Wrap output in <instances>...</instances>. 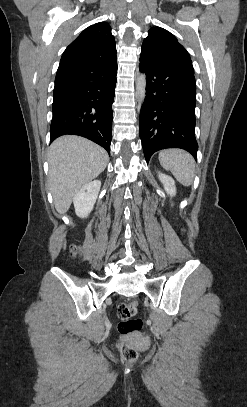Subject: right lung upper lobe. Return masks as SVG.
Masks as SVG:
<instances>
[{
	"label": "right lung upper lobe",
	"instance_id": "right-lung-upper-lobe-1",
	"mask_svg": "<svg viewBox=\"0 0 247 407\" xmlns=\"http://www.w3.org/2000/svg\"><path fill=\"white\" fill-rule=\"evenodd\" d=\"M116 61V46L106 22L89 26L66 48L55 78V90L84 79L95 68Z\"/></svg>",
	"mask_w": 247,
	"mask_h": 407
}]
</instances>
